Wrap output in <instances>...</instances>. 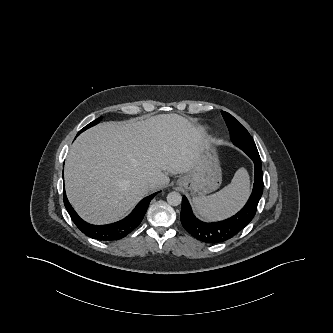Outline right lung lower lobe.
I'll use <instances>...</instances> for the list:
<instances>
[{"label": "right lung lower lobe", "instance_id": "right-lung-lower-lobe-1", "mask_svg": "<svg viewBox=\"0 0 333 333\" xmlns=\"http://www.w3.org/2000/svg\"><path fill=\"white\" fill-rule=\"evenodd\" d=\"M156 194L154 193L141 200L135 209L123 220L108 225H92L83 221L70 205L65 191L64 204L72 221L85 235L101 241H113L125 237L141 223L150 201Z\"/></svg>", "mask_w": 333, "mask_h": 333}]
</instances>
